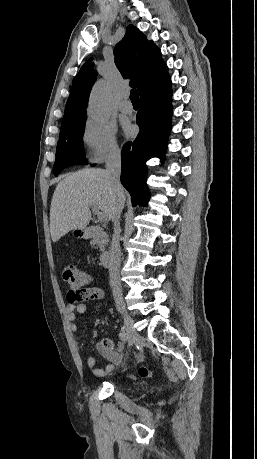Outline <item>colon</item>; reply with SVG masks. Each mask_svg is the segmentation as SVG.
Instances as JSON below:
<instances>
[{
  "label": "colon",
  "instance_id": "1",
  "mask_svg": "<svg viewBox=\"0 0 257 459\" xmlns=\"http://www.w3.org/2000/svg\"><path fill=\"white\" fill-rule=\"evenodd\" d=\"M62 276L70 287L77 290L76 301L86 300L89 297L87 288L84 287L88 282L89 276L84 270L68 265L63 268ZM151 373L152 370L146 366H142L138 370L140 377H149Z\"/></svg>",
  "mask_w": 257,
  "mask_h": 459
}]
</instances>
